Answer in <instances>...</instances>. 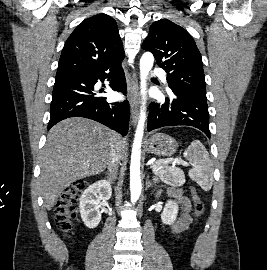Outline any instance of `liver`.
Wrapping results in <instances>:
<instances>
[{"label": "liver", "instance_id": "obj_1", "mask_svg": "<svg viewBox=\"0 0 267 270\" xmlns=\"http://www.w3.org/2000/svg\"><path fill=\"white\" fill-rule=\"evenodd\" d=\"M126 154L127 142L113 130L81 117L65 119L47 135L41 155L40 187L44 205L51 210L71 183L103 172L112 146Z\"/></svg>", "mask_w": 267, "mask_h": 270}]
</instances>
